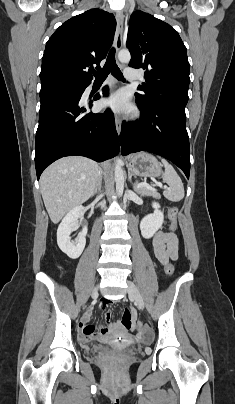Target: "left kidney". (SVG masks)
<instances>
[{
	"mask_svg": "<svg viewBox=\"0 0 235 404\" xmlns=\"http://www.w3.org/2000/svg\"><path fill=\"white\" fill-rule=\"evenodd\" d=\"M154 212L146 215L140 222L141 234L145 239H150L160 228L164 221L163 212L159 210L160 205L156 202L152 203Z\"/></svg>",
	"mask_w": 235,
	"mask_h": 404,
	"instance_id": "1",
	"label": "left kidney"
}]
</instances>
